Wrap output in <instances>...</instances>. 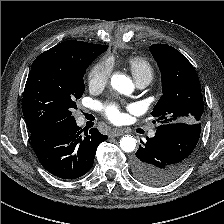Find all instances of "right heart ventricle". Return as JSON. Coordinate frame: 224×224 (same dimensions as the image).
I'll return each mask as SVG.
<instances>
[{
  "label": "right heart ventricle",
  "mask_w": 224,
  "mask_h": 224,
  "mask_svg": "<svg viewBox=\"0 0 224 224\" xmlns=\"http://www.w3.org/2000/svg\"><path fill=\"white\" fill-rule=\"evenodd\" d=\"M127 66L136 81L149 80L154 76L152 64L144 57L131 56L127 59Z\"/></svg>",
  "instance_id": "obj_1"
}]
</instances>
